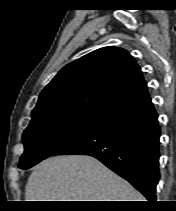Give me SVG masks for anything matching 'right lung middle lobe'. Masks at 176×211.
Wrapping results in <instances>:
<instances>
[{
  "mask_svg": "<svg viewBox=\"0 0 176 211\" xmlns=\"http://www.w3.org/2000/svg\"><path fill=\"white\" fill-rule=\"evenodd\" d=\"M102 119L91 118L66 111H47L32 115L23 133L25 151L19 168L28 169L72 142Z\"/></svg>",
  "mask_w": 176,
  "mask_h": 211,
  "instance_id": "obj_1",
  "label": "right lung middle lobe"
}]
</instances>
